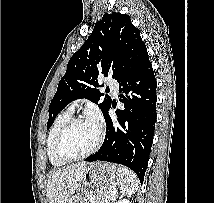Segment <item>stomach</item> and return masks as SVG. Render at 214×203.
Returning <instances> with one entry per match:
<instances>
[{
  "label": "stomach",
  "instance_id": "stomach-1",
  "mask_svg": "<svg viewBox=\"0 0 214 203\" xmlns=\"http://www.w3.org/2000/svg\"><path fill=\"white\" fill-rule=\"evenodd\" d=\"M116 177V169L111 164L95 162L87 165L77 193L67 203H80L89 197L94 203H100L103 195L115 187Z\"/></svg>",
  "mask_w": 214,
  "mask_h": 203
}]
</instances>
